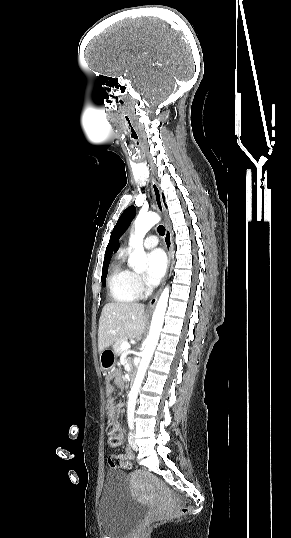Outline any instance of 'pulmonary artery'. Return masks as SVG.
<instances>
[{
	"mask_svg": "<svg viewBox=\"0 0 291 538\" xmlns=\"http://www.w3.org/2000/svg\"><path fill=\"white\" fill-rule=\"evenodd\" d=\"M158 238L155 235H149L145 238L143 244L146 248L151 249L158 245Z\"/></svg>",
	"mask_w": 291,
	"mask_h": 538,
	"instance_id": "pulmonary-artery-1",
	"label": "pulmonary artery"
}]
</instances>
